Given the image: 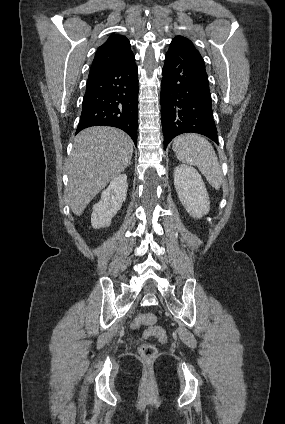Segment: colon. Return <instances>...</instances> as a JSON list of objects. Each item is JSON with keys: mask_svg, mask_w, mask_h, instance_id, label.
<instances>
[{"mask_svg": "<svg viewBox=\"0 0 285 424\" xmlns=\"http://www.w3.org/2000/svg\"><path fill=\"white\" fill-rule=\"evenodd\" d=\"M155 322V316L152 313H142L136 317L132 327L139 328L143 325H152ZM146 337L155 336L160 341L164 342L167 340V334L163 329L157 327H150L145 331L144 334ZM139 354L142 358L150 360L156 357L157 349L154 345L150 343H143L139 347Z\"/></svg>", "mask_w": 285, "mask_h": 424, "instance_id": "1", "label": "colon"}]
</instances>
